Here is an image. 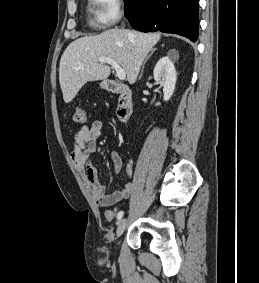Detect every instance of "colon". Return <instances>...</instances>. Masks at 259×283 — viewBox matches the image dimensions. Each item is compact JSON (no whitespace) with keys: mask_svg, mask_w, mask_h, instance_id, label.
<instances>
[{"mask_svg":"<svg viewBox=\"0 0 259 283\" xmlns=\"http://www.w3.org/2000/svg\"><path fill=\"white\" fill-rule=\"evenodd\" d=\"M74 121L77 123H85L87 121V115L84 107L77 106L74 111ZM108 217L112 219L114 217V213H109Z\"/></svg>","mask_w":259,"mask_h":283,"instance_id":"1","label":"colon"}]
</instances>
